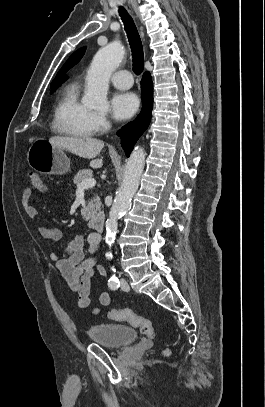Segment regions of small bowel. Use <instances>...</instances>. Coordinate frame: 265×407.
<instances>
[{
  "label": "small bowel",
  "mask_w": 265,
  "mask_h": 407,
  "mask_svg": "<svg viewBox=\"0 0 265 407\" xmlns=\"http://www.w3.org/2000/svg\"><path fill=\"white\" fill-rule=\"evenodd\" d=\"M33 191L26 188L21 197V204L26 214L33 219H40L38 210L30 204ZM39 234L42 238L50 242H58L62 239V231L56 227L40 226ZM99 238L89 236L88 251L94 254L98 250ZM51 259L55 261L57 269L66 282L68 290L78 294L77 305L81 309L90 305L91 281L96 276H106L107 272L103 267L97 265L95 257H85V238L82 235H75L67 239L63 252H52ZM99 302L103 307L111 303L110 296L103 291L99 294ZM101 311L100 307H94L92 314L97 315Z\"/></svg>",
  "instance_id": "small-bowel-1"
}]
</instances>
